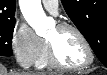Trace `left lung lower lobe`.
<instances>
[{"label":"left lung lower lobe","mask_w":107,"mask_h":75,"mask_svg":"<svg viewBox=\"0 0 107 75\" xmlns=\"http://www.w3.org/2000/svg\"><path fill=\"white\" fill-rule=\"evenodd\" d=\"M105 56V51L103 49H100L97 53V57L99 58V60L103 63V59Z\"/></svg>","instance_id":"1"}]
</instances>
